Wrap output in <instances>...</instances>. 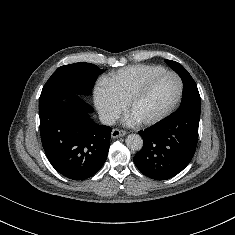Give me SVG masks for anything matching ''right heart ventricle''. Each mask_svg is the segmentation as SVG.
I'll return each mask as SVG.
<instances>
[{"instance_id":"right-heart-ventricle-1","label":"right heart ventricle","mask_w":235,"mask_h":235,"mask_svg":"<svg viewBox=\"0 0 235 235\" xmlns=\"http://www.w3.org/2000/svg\"><path fill=\"white\" fill-rule=\"evenodd\" d=\"M162 71H165V68L157 65H132L110 74L104 79V84L123 105H126L150 76Z\"/></svg>"}]
</instances>
